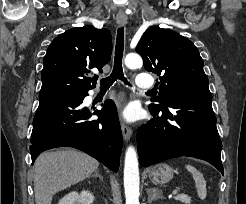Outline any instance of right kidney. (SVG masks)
<instances>
[{"instance_id": "obj_1", "label": "right kidney", "mask_w": 246, "mask_h": 204, "mask_svg": "<svg viewBox=\"0 0 246 204\" xmlns=\"http://www.w3.org/2000/svg\"><path fill=\"white\" fill-rule=\"evenodd\" d=\"M94 196L91 192L83 190L80 193L70 192L64 196L58 204H92Z\"/></svg>"}]
</instances>
